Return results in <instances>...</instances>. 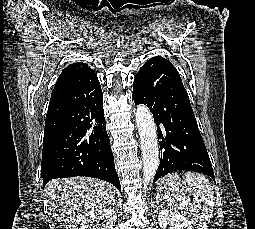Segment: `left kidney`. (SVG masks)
<instances>
[{
  "label": "left kidney",
  "mask_w": 255,
  "mask_h": 229,
  "mask_svg": "<svg viewBox=\"0 0 255 229\" xmlns=\"http://www.w3.org/2000/svg\"><path fill=\"white\" fill-rule=\"evenodd\" d=\"M158 221L162 229H165L168 225L174 229H194L191 222L184 216L167 209H162L159 212Z\"/></svg>",
  "instance_id": "1"
}]
</instances>
